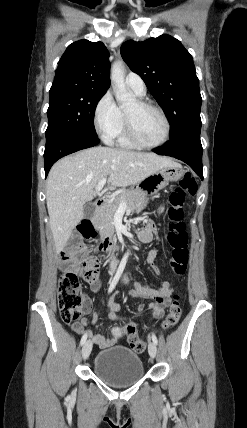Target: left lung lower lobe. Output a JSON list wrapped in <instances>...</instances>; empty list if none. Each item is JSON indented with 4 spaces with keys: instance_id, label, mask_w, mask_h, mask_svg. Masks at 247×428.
Returning <instances> with one entry per match:
<instances>
[{
    "instance_id": "left-lung-lower-lobe-1",
    "label": "left lung lower lobe",
    "mask_w": 247,
    "mask_h": 428,
    "mask_svg": "<svg viewBox=\"0 0 247 428\" xmlns=\"http://www.w3.org/2000/svg\"><path fill=\"white\" fill-rule=\"evenodd\" d=\"M159 155H166L187 163L203 180L202 145L200 132H190L169 141L164 147L153 150Z\"/></svg>"
}]
</instances>
